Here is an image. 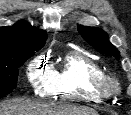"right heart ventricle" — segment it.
<instances>
[{
	"label": "right heart ventricle",
	"mask_w": 131,
	"mask_h": 115,
	"mask_svg": "<svg viewBox=\"0 0 131 115\" xmlns=\"http://www.w3.org/2000/svg\"><path fill=\"white\" fill-rule=\"evenodd\" d=\"M55 83L52 95L64 101L102 103L110 99V93L97 86L103 74L97 62L77 51L67 52L53 69Z\"/></svg>",
	"instance_id": "right-heart-ventricle-1"
}]
</instances>
